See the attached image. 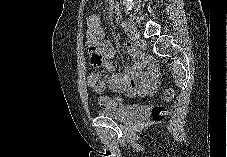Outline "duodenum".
<instances>
[{"label": "duodenum", "instance_id": "410a0bca", "mask_svg": "<svg viewBox=\"0 0 227 157\" xmlns=\"http://www.w3.org/2000/svg\"><path fill=\"white\" fill-rule=\"evenodd\" d=\"M110 8H111V11H112L114 18L119 20V18H120L119 17V10H118L117 6L113 2H111Z\"/></svg>", "mask_w": 227, "mask_h": 157}]
</instances>
